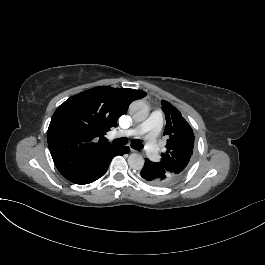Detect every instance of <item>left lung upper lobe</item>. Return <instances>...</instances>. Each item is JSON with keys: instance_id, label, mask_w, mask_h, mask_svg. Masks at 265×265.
<instances>
[{"instance_id": "obj_1", "label": "left lung upper lobe", "mask_w": 265, "mask_h": 265, "mask_svg": "<svg viewBox=\"0 0 265 265\" xmlns=\"http://www.w3.org/2000/svg\"><path fill=\"white\" fill-rule=\"evenodd\" d=\"M167 138L166 153H162L158 162L175 180H179L187 171L193 154L194 134L192 128L181 113L169 102L162 100Z\"/></svg>"}]
</instances>
